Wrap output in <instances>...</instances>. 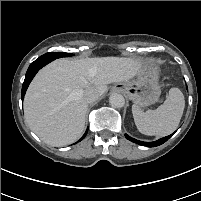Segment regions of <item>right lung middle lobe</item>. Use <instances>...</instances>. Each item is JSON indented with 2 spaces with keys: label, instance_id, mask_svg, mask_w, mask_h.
Listing matches in <instances>:
<instances>
[{
  "label": "right lung middle lobe",
  "instance_id": "1",
  "mask_svg": "<svg viewBox=\"0 0 201 201\" xmlns=\"http://www.w3.org/2000/svg\"><path fill=\"white\" fill-rule=\"evenodd\" d=\"M46 55H47V56H54L55 58L73 56V54L64 53V52L46 53Z\"/></svg>",
  "mask_w": 201,
  "mask_h": 201
}]
</instances>
